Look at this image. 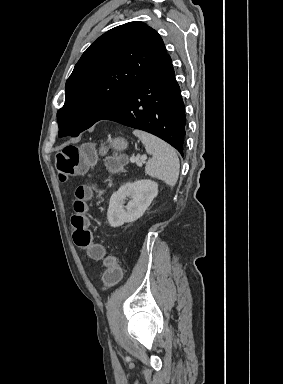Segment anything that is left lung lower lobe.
I'll return each mask as SVG.
<instances>
[{"instance_id":"obj_1","label":"left lung lower lobe","mask_w":283,"mask_h":384,"mask_svg":"<svg viewBox=\"0 0 283 384\" xmlns=\"http://www.w3.org/2000/svg\"><path fill=\"white\" fill-rule=\"evenodd\" d=\"M102 120L149 132L183 155L186 116L170 56L166 54Z\"/></svg>"}]
</instances>
